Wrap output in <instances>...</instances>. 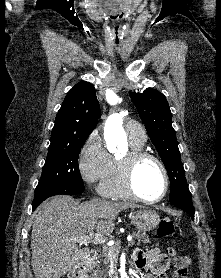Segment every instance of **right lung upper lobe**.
I'll use <instances>...</instances> for the list:
<instances>
[{
    "mask_svg": "<svg viewBox=\"0 0 221 278\" xmlns=\"http://www.w3.org/2000/svg\"><path fill=\"white\" fill-rule=\"evenodd\" d=\"M100 115L94 86L89 82L76 84L66 95L56 115L50 146L87 139Z\"/></svg>",
    "mask_w": 221,
    "mask_h": 278,
    "instance_id": "right-lung-upper-lobe-1",
    "label": "right lung upper lobe"
}]
</instances>
